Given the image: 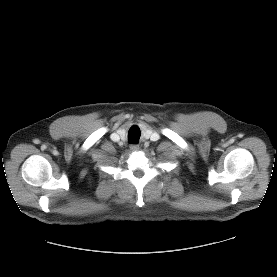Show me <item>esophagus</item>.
Wrapping results in <instances>:
<instances>
[{
    "label": "esophagus",
    "mask_w": 277,
    "mask_h": 277,
    "mask_svg": "<svg viewBox=\"0 0 277 277\" xmlns=\"http://www.w3.org/2000/svg\"><path fill=\"white\" fill-rule=\"evenodd\" d=\"M140 149V147H139V145H137V144H131L130 145V150L132 151V152H136V151H138Z\"/></svg>",
    "instance_id": "34e87169"
}]
</instances>
